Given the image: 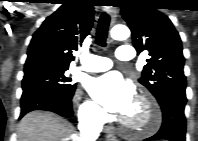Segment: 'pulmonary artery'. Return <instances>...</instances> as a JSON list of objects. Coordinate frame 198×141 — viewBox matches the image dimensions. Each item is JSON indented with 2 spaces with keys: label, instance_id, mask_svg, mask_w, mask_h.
Returning <instances> with one entry per match:
<instances>
[{
  "label": "pulmonary artery",
  "instance_id": "pulmonary-artery-1",
  "mask_svg": "<svg viewBox=\"0 0 198 141\" xmlns=\"http://www.w3.org/2000/svg\"><path fill=\"white\" fill-rule=\"evenodd\" d=\"M116 58L121 61H131L134 57V50L132 47L124 45L117 49ZM89 62L80 67L81 70L87 72H102L112 67V61L108 57H101L97 55H89Z\"/></svg>",
  "mask_w": 198,
  "mask_h": 141
}]
</instances>
